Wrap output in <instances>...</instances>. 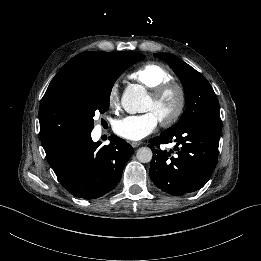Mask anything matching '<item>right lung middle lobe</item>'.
Returning a JSON list of instances; mask_svg holds the SVG:
<instances>
[{
    "mask_svg": "<svg viewBox=\"0 0 261 261\" xmlns=\"http://www.w3.org/2000/svg\"><path fill=\"white\" fill-rule=\"evenodd\" d=\"M144 58L145 56L141 53L122 52L114 63L85 78L80 89V100L86 120L82 135L91 133L96 112L103 114L108 110L110 93L119 75ZM40 138L46 155L61 145V141L54 135L46 134Z\"/></svg>",
    "mask_w": 261,
    "mask_h": 261,
    "instance_id": "right-lung-middle-lobe-1",
    "label": "right lung middle lobe"
}]
</instances>
